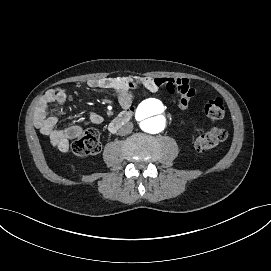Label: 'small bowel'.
I'll use <instances>...</instances> for the list:
<instances>
[{"instance_id": "1", "label": "small bowel", "mask_w": 271, "mask_h": 271, "mask_svg": "<svg viewBox=\"0 0 271 271\" xmlns=\"http://www.w3.org/2000/svg\"><path fill=\"white\" fill-rule=\"evenodd\" d=\"M87 86L114 92L121 106L127 110L132 108L138 89L155 93L159 89L164 88L170 95L176 97L175 102L181 109H186L191 99L197 93V89L189 80L184 78L105 77L90 79L87 81ZM66 99L67 93L65 89H50L39 99L34 113V124L36 128L40 130L54 147L61 151L67 150L69 142L79 137L83 131L82 127L78 125L63 129L57 127ZM52 104L58 106L54 114L49 112V106ZM78 113H80V111ZM88 118L90 122L95 125L103 121L102 116L96 112H89Z\"/></svg>"}]
</instances>
